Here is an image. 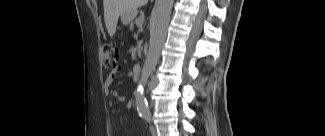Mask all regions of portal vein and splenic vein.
I'll list each match as a JSON object with an SVG mask.
<instances>
[{"mask_svg":"<svg viewBox=\"0 0 325 136\" xmlns=\"http://www.w3.org/2000/svg\"><path fill=\"white\" fill-rule=\"evenodd\" d=\"M143 21H144V16H142V17L139 18L138 25H142Z\"/></svg>","mask_w":325,"mask_h":136,"instance_id":"portal-vein-and-splenic-vein-1","label":"portal vein and splenic vein"}]
</instances>
